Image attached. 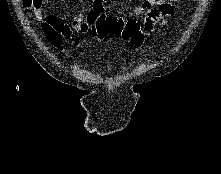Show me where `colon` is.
<instances>
[{
  "instance_id": "obj_1",
  "label": "colon",
  "mask_w": 221,
  "mask_h": 174,
  "mask_svg": "<svg viewBox=\"0 0 221 174\" xmlns=\"http://www.w3.org/2000/svg\"><path fill=\"white\" fill-rule=\"evenodd\" d=\"M40 1L22 0V5L25 9L32 10L40 4ZM90 31L99 39H122L136 49H141L144 44L145 35L136 19L123 21L117 17L101 16Z\"/></svg>"
}]
</instances>
